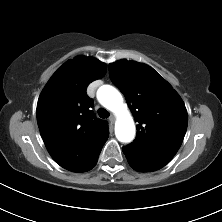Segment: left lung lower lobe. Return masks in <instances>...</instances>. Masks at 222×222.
Instances as JSON below:
<instances>
[{
	"label": "left lung lower lobe",
	"instance_id": "obj_1",
	"mask_svg": "<svg viewBox=\"0 0 222 222\" xmlns=\"http://www.w3.org/2000/svg\"><path fill=\"white\" fill-rule=\"evenodd\" d=\"M131 165V164H130ZM132 166V168H134L135 170H137V171H141V172H144L145 170H143V169H140V168H137V167H135V166H133V165H131Z\"/></svg>",
	"mask_w": 222,
	"mask_h": 222
}]
</instances>
